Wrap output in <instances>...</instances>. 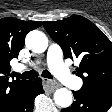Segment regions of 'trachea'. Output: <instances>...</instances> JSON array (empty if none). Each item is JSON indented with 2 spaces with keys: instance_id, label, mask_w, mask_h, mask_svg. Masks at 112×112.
Segmentation results:
<instances>
[{
  "instance_id": "3493384b",
  "label": "trachea",
  "mask_w": 112,
  "mask_h": 112,
  "mask_svg": "<svg viewBox=\"0 0 112 112\" xmlns=\"http://www.w3.org/2000/svg\"><path fill=\"white\" fill-rule=\"evenodd\" d=\"M13 76L17 77V78H20V79H31V78H35L38 76V72L35 71V70H32V71H26L22 74H19V73H16V72H13L12 73ZM42 77L44 78H49V79H53V76L51 75V73L47 70H44L42 72Z\"/></svg>"
}]
</instances>
